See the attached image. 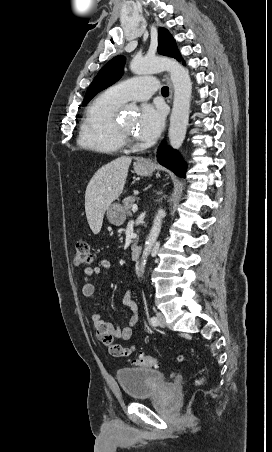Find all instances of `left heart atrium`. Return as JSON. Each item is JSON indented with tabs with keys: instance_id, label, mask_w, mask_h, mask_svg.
Listing matches in <instances>:
<instances>
[{
	"instance_id": "left-heart-atrium-1",
	"label": "left heart atrium",
	"mask_w": 272,
	"mask_h": 452,
	"mask_svg": "<svg viewBox=\"0 0 272 452\" xmlns=\"http://www.w3.org/2000/svg\"><path fill=\"white\" fill-rule=\"evenodd\" d=\"M163 124L164 112L162 107L145 105L141 109L134 131L139 139L151 141L159 135Z\"/></svg>"
}]
</instances>
